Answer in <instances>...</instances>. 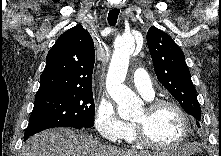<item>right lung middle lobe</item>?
<instances>
[{
	"label": "right lung middle lobe",
	"instance_id": "1",
	"mask_svg": "<svg viewBox=\"0 0 221 156\" xmlns=\"http://www.w3.org/2000/svg\"><path fill=\"white\" fill-rule=\"evenodd\" d=\"M92 89L36 98L24 137L53 127L94 126Z\"/></svg>",
	"mask_w": 221,
	"mask_h": 156
}]
</instances>
